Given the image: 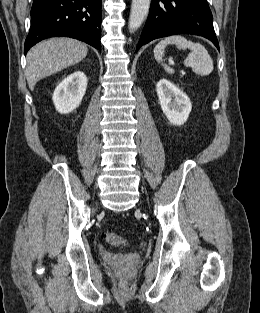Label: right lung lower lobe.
I'll return each mask as SVG.
<instances>
[{
  "label": "right lung lower lobe",
  "instance_id": "1",
  "mask_svg": "<svg viewBox=\"0 0 260 313\" xmlns=\"http://www.w3.org/2000/svg\"><path fill=\"white\" fill-rule=\"evenodd\" d=\"M25 54L39 41L72 37L101 50V0H34Z\"/></svg>",
  "mask_w": 260,
  "mask_h": 313
}]
</instances>
